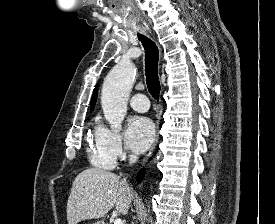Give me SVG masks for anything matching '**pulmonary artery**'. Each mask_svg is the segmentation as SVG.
I'll return each mask as SVG.
<instances>
[{
  "mask_svg": "<svg viewBox=\"0 0 275 224\" xmlns=\"http://www.w3.org/2000/svg\"><path fill=\"white\" fill-rule=\"evenodd\" d=\"M130 105L138 112H146L149 109V99L143 94H136L130 99Z\"/></svg>",
  "mask_w": 275,
  "mask_h": 224,
  "instance_id": "e3ab8cb5",
  "label": "pulmonary artery"
}]
</instances>
